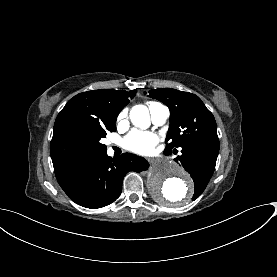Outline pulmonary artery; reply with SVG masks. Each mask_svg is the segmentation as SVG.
I'll return each mask as SVG.
<instances>
[{
  "label": "pulmonary artery",
  "instance_id": "e3ab8cb5",
  "mask_svg": "<svg viewBox=\"0 0 277 277\" xmlns=\"http://www.w3.org/2000/svg\"><path fill=\"white\" fill-rule=\"evenodd\" d=\"M148 110L153 124L157 126L164 125L170 116L169 108L158 102L152 103Z\"/></svg>",
  "mask_w": 277,
  "mask_h": 277
}]
</instances>
